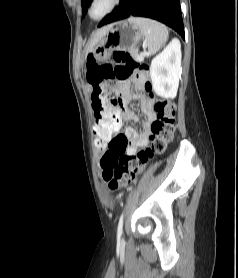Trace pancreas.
<instances>
[{
  "label": "pancreas",
  "instance_id": "1",
  "mask_svg": "<svg viewBox=\"0 0 238 278\" xmlns=\"http://www.w3.org/2000/svg\"><path fill=\"white\" fill-rule=\"evenodd\" d=\"M130 54L136 59L139 57L137 49L130 50Z\"/></svg>",
  "mask_w": 238,
  "mask_h": 278
}]
</instances>
